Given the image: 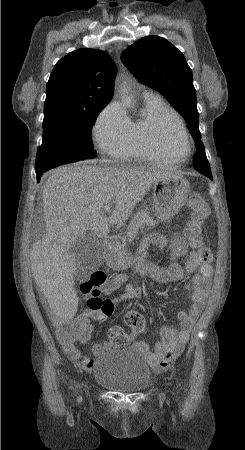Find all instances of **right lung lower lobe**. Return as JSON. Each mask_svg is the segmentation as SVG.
<instances>
[{
  "mask_svg": "<svg viewBox=\"0 0 245 450\" xmlns=\"http://www.w3.org/2000/svg\"><path fill=\"white\" fill-rule=\"evenodd\" d=\"M45 171H37L36 172V177H37V181L39 182V180H40V178H41V175H42V173H44Z\"/></svg>",
  "mask_w": 245,
  "mask_h": 450,
  "instance_id": "98d812e1",
  "label": "right lung lower lobe"
}]
</instances>
